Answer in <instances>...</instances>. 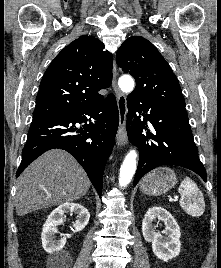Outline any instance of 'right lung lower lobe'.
<instances>
[{"mask_svg":"<svg viewBox=\"0 0 221 268\" xmlns=\"http://www.w3.org/2000/svg\"><path fill=\"white\" fill-rule=\"evenodd\" d=\"M77 123L85 124L78 128ZM118 124L119 112L113 94L95 105L67 114L33 118L16 177L47 150L61 148L81 164L101 197L104 168L113 149Z\"/></svg>","mask_w":221,"mask_h":268,"instance_id":"obj_1","label":"right lung lower lobe"}]
</instances>
